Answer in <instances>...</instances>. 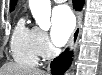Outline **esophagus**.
Returning <instances> with one entry per match:
<instances>
[{"label": "esophagus", "mask_w": 102, "mask_h": 75, "mask_svg": "<svg viewBox=\"0 0 102 75\" xmlns=\"http://www.w3.org/2000/svg\"><path fill=\"white\" fill-rule=\"evenodd\" d=\"M82 22V13L80 11L77 12V26L75 30L72 33V36L69 41V51H74L80 36V27ZM48 70H50V67H48Z\"/></svg>", "instance_id": "1"}]
</instances>
